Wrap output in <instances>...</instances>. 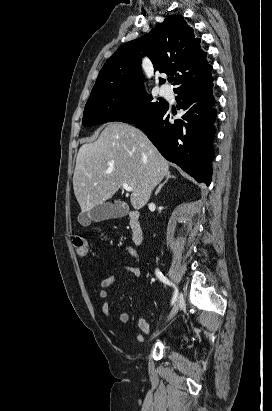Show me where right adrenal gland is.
I'll use <instances>...</instances> for the list:
<instances>
[{
	"label": "right adrenal gland",
	"mask_w": 272,
	"mask_h": 411,
	"mask_svg": "<svg viewBox=\"0 0 272 411\" xmlns=\"http://www.w3.org/2000/svg\"><path fill=\"white\" fill-rule=\"evenodd\" d=\"M172 178H176V177H175L174 175H172L170 172H168V173L166 174V179H165V181H164L162 184L159 185V187L157 188V190H156V192H155V195H157V194L160 192L161 188L168 182V180H169V179H172Z\"/></svg>",
	"instance_id": "2a0ac1e0"
}]
</instances>
